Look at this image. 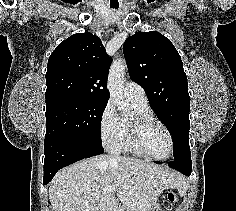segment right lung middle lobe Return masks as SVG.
<instances>
[{
  "label": "right lung middle lobe",
  "mask_w": 236,
  "mask_h": 211,
  "mask_svg": "<svg viewBox=\"0 0 236 211\" xmlns=\"http://www.w3.org/2000/svg\"><path fill=\"white\" fill-rule=\"evenodd\" d=\"M107 102L65 100L46 106L45 140L81 138L101 143V120Z\"/></svg>",
  "instance_id": "obj_1"
}]
</instances>
